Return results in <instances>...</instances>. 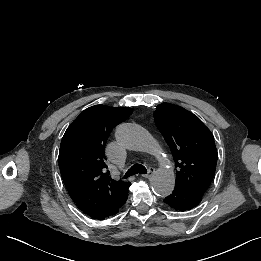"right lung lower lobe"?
Masks as SVG:
<instances>
[{
  "label": "right lung lower lobe",
  "mask_w": 261,
  "mask_h": 261,
  "mask_svg": "<svg viewBox=\"0 0 261 261\" xmlns=\"http://www.w3.org/2000/svg\"><path fill=\"white\" fill-rule=\"evenodd\" d=\"M127 197H128V194H127V195L125 196V198L121 201V203H120L118 206H116L114 209L109 210V211H106V212H104L102 215L97 216V217H94L93 219L103 220V219H105V218H107V217H110V216L115 215V214L119 211L120 207L126 202Z\"/></svg>",
  "instance_id": "right-lung-lower-lobe-1"
}]
</instances>
